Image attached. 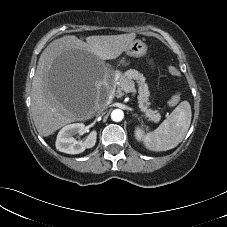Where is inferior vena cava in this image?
I'll return each instance as SVG.
<instances>
[{
	"label": "inferior vena cava",
	"mask_w": 227,
	"mask_h": 227,
	"mask_svg": "<svg viewBox=\"0 0 227 227\" xmlns=\"http://www.w3.org/2000/svg\"><path fill=\"white\" fill-rule=\"evenodd\" d=\"M107 103L105 104H98L95 109L97 110V113L100 114L106 109Z\"/></svg>",
	"instance_id": "602c4592"
}]
</instances>
